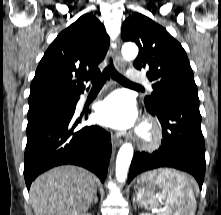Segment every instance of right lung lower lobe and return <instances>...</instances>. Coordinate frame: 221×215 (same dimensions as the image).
I'll return each mask as SVG.
<instances>
[{"mask_svg": "<svg viewBox=\"0 0 221 215\" xmlns=\"http://www.w3.org/2000/svg\"><path fill=\"white\" fill-rule=\"evenodd\" d=\"M78 100L28 119L24 160L28 190L39 174L64 164L82 166L104 181L112 150L111 136L99 126L77 129L83 120L74 116Z\"/></svg>", "mask_w": 221, "mask_h": 215, "instance_id": "98d812e1", "label": "right lung lower lobe"}]
</instances>
